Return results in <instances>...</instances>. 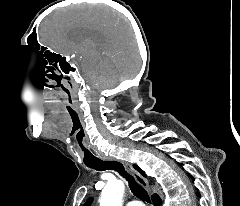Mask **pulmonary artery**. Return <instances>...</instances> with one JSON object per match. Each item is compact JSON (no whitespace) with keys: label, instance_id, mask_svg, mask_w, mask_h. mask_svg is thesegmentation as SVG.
Instances as JSON below:
<instances>
[{"label":"pulmonary artery","instance_id":"obj_1","mask_svg":"<svg viewBox=\"0 0 240 206\" xmlns=\"http://www.w3.org/2000/svg\"><path fill=\"white\" fill-rule=\"evenodd\" d=\"M126 206H144L140 201H129Z\"/></svg>","mask_w":240,"mask_h":206}]
</instances>
